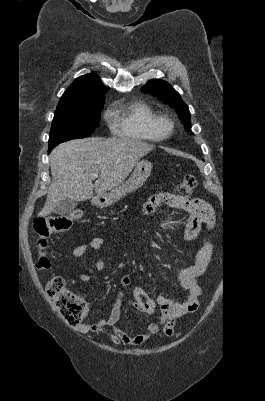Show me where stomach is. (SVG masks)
<instances>
[{
  "label": "stomach",
  "mask_w": 265,
  "mask_h": 401,
  "mask_svg": "<svg viewBox=\"0 0 265 401\" xmlns=\"http://www.w3.org/2000/svg\"><path fill=\"white\" fill-rule=\"evenodd\" d=\"M152 166L153 164L152 162H149V160H139V162H136L134 170L128 180H125L122 184H118V186L112 188V190L107 192V194H104V196H97V198H95L96 205H100V207H109V205H113V203L120 201V198L125 196L127 192H133V190L142 186L148 176H150Z\"/></svg>",
  "instance_id": "0dacf381"
}]
</instances>
